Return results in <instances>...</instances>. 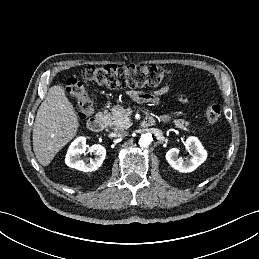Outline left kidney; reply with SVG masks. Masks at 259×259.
<instances>
[{
	"label": "left kidney",
	"instance_id": "1",
	"mask_svg": "<svg viewBox=\"0 0 259 259\" xmlns=\"http://www.w3.org/2000/svg\"><path fill=\"white\" fill-rule=\"evenodd\" d=\"M185 147L187 150L191 151V159L183 160L182 158H179L178 154L180 150L177 148L168 150L165 157L172 168L179 172L188 173L194 171L206 160L207 152L198 138L194 136L187 138Z\"/></svg>",
	"mask_w": 259,
	"mask_h": 259
}]
</instances>
